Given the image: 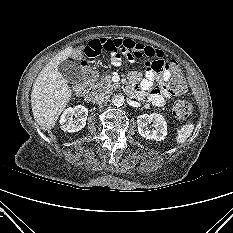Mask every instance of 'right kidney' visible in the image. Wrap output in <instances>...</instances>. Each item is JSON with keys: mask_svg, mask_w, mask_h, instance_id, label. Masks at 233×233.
Instances as JSON below:
<instances>
[{"mask_svg": "<svg viewBox=\"0 0 233 233\" xmlns=\"http://www.w3.org/2000/svg\"><path fill=\"white\" fill-rule=\"evenodd\" d=\"M88 109L83 105L67 108L61 118V128L67 132H77L86 125Z\"/></svg>", "mask_w": 233, "mask_h": 233, "instance_id": "right-kidney-1", "label": "right kidney"}]
</instances>
